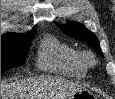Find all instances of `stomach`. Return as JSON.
Masks as SVG:
<instances>
[{"label": "stomach", "instance_id": "obj_1", "mask_svg": "<svg viewBox=\"0 0 115 99\" xmlns=\"http://www.w3.org/2000/svg\"><path fill=\"white\" fill-rule=\"evenodd\" d=\"M92 98H95V95L91 91L87 89H80L71 94L68 99H92Z\"/></svg>", "mask_w": 115, "mask_h": 99}]
</instances>
